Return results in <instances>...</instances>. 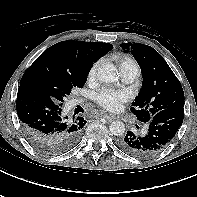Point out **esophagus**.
<instances>
[{"instance_id":"1","label":"esophagus","mask_w":197,"mask_h":197,"mask_svg":"<svg viewBox=\"0 0 197 197\" xmlns=\"http://www.w3.org/2000/svg\"><path fill=\"white\" fill-rule=\"evenodd\" d=\"M100 116H101L102 118L107 119L108 121H113V120L116 119V116H115V115L108 114V113H101Z\"/></svg>"}]
</instances>
